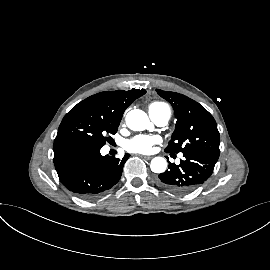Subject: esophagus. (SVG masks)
<instances>
[{
    "label": "esophagus",
    "instance_id": "obj_1",
    "mask_svg": "<svg viewBox=\"0 0 270 270\" xmlns=\"http://www.w3.org/2000/svg\"><path fill=\"white\" fill-rule=\"evenodd\" d=\"M146 160H150L152 157L151 156H142Z\"/></svg>",
    "mask_w": 270,
    "mask_h": 270
}]
</instances>
